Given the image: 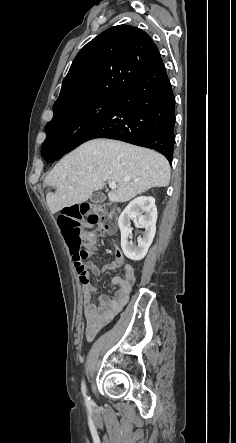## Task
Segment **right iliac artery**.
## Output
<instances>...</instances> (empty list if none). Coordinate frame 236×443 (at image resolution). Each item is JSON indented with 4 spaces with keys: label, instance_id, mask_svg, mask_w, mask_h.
Here are the masks:
<instances>
[{
    "label": "right iliac artery",
    "instance_id": "obj_1",
    "mask_svg": "<svg viewBox=\"0 0 236 443\" xmlns=\"http://www.w3.org/2000/svg\"><path fill=\"white\" fill-rule=\"evenodd\" d=\"M82 391H83V394L85 396V402H86L87 406H92L93 405L92 400L85 393L86 392V387H85V383L84 382H82Z\"/></svg>",
    "mask_w": 236,
    "mask_h": 443
}]
</instances>
